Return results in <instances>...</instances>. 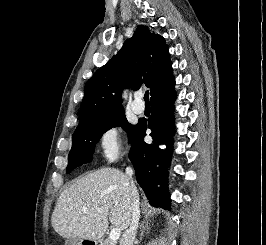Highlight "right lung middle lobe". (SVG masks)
I'll use <instances>...</instances> for the list:
<instances>
[{
    "mask_svg": "<svg viewBox=\"0 0 266 245\" xmlns=\"http://www.w3.org/2000/svg\"><path fill=\"white\" fill-rule=\"evenodd\" d=\"M120 126L127 131L130 141L135 125L127 123L124 110L80 121L72 137L66 172L70 173L76 167L90 162L94 147L103 133Z\"/></svg>",
    "mask_w": 266,
    "mask_h": 245,
    "instance_id": "1",
    "label": "right lung middle lobe"
}]
</instances>
